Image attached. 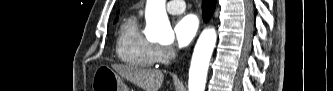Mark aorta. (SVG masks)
Instances as JSON below:
<instances>
[{
    "instance_id": "obj_1",
    "label": "aorta",
    "mask_w": 333,
    "mask_h": 91,
    "mask_svg": "<svg viewBox=\"0 0 333 91\" xmlns=\"http://www.w3.org/2000/svg\"><path fill=\"white\" fill-rule=\"evenodd\" d=\"M145 18L147 39L158 42H168L174 39V32L165 10V0H148ZM216 40L217 34L214 28H207L201 33L191 60L189 91H204Z\"/></svg>"
}]
</instances>
